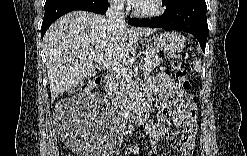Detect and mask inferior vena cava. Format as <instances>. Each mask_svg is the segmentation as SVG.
Masks as SVG:
<instances>
[{"label":"inferior vena cava","mask_w":247,"mask_h":156,"mask_svg":"<svg viewBox=\"0 0 247 156\" xmlns=\"http://www.w3.org/2000/svg\"><path fill=\"white\" fill-rule=\"evenodd\" d=\"M124 4L121 0H113L110 2V6L106 12V18L109 23H112L115 26L125 25V17L123 13ZM111 91V90H110ZM112 103L115 105L117 98L114 94H110Z\"/></svg>","instance_id":"1"}]
</instances>
